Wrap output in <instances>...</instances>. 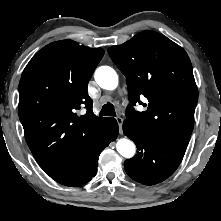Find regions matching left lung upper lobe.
I'll return each mask as SVG.
<instances>
[{
	"label": "left lung upper lobe",
	"instance_id": "1",
	"mask_svg": "<svg viewBox=\"0 0 221 221\" xmlns=\"http://www.w3.org/2000/svg\"><path fill=\"white\" fill-rule=\"evenodd\" d=\"M108 53L126 77L131 103L127 119L160 139L187 146L198 90L185 50L160 33L145 31ZM143 96L149 101L147 110L137 112L132 105L143 104Z\"/></svg>",
	"mask_w": 221,
	"mask_h": 221
}]
</instances>
